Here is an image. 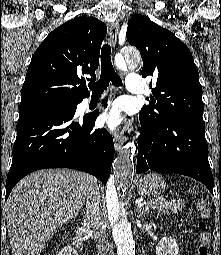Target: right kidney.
I'll return each mask as SVG.
<instances>
[{
  "label": "right kidney",
  "mask_w": 221,
  "mask_h": 255,
  "mask_svg": "<svg viewBox=\"0 0 221 255\" xmlns=\"http://www.w3.org/2000/svg\"><path fill=\"white\" fill-rule=\"evenodd\" d=\"M67 238V235L63 239ZM56 255H78V252L75 248L71 246H65L61 250L57 251Z\"/></svg>",
  "instance_id": "1"
}]
</instances>
